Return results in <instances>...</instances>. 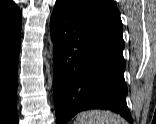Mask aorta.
Returning <instances> with one entry per match:
<instances>
[{
  "instance_id": "1",
  "label": "aorta",
  "mask_w": 156,
  "mask_h": 124,
  "mask_svg": "<svg viewBox=\"0 0 156 124\" xmlns=\"http://www.w3.org/2000/svg\"><path fill=\"white\" fill-rule=\"evenodd\" d=\"M47 57L50 59L51 63H53V58H54V44H53L51 38H49V50L47 52Z\"/></svg>"
}]
</instances>
